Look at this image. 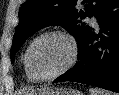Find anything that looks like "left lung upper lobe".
<instances>
[{"instance_id":"obj_1","label":"left lung upper lobe","mask_w":119,"mask_h":95,"mask_svg":"<svg viewBox=\"0 0 119 95\" xmlns=\"http://www.w3.org/2000/svg\"><path fill=\"white\" fill-rule=\"evenodd\" d=\"M79 0H27L19 11L10 56L11 62L25 40L38 30L51 25H62L77 40L78 46L90 31L80 19L96 15L108 0H83V10L76 8Z\"/></svg>"}]
</instances>
